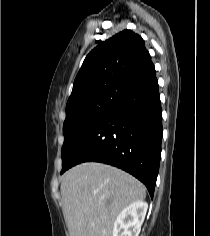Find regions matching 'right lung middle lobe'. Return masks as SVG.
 Wrapping results in <instances>:
<instances>
[{
    "mask_svg": "<svg viewBox=\"0 0 210 236\" xmlns=\"http://www.w3.org/2000/svg\"><path fill=\"white\" fill-rule=\"evenodd\" d=\"M124 91H108L83 100L66 110L63 125L62 166L64 167L91 129L118 102Z\"/></svg>",
    "mask_w": 210,
    "mask_h": 236,
    "instance_id": "1",
    "label": "right lung middle lobe"
}]
</instances>
